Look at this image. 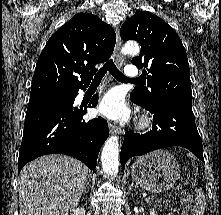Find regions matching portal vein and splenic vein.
Instances as JSON below:
<instances>
[{
	"label": "portal vein and splenic vein",
	"instance_id": "1",
	"mask_svg": "<svg viewBox=\"0 0 221 215\" xmlns=\"http://www.w3.org/2000/svg\"><path fill=\"white\" fill-rule=\"evenodd\" d=\"M149 198H153V196H149Z\"/></svg>",
	"mask_w": 221,
	"mask_h": 215
}]
</instances>
